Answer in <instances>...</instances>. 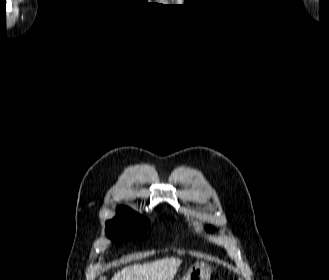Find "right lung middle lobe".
Segmentation results:
<instances>
[{"label": "right lung middle lobe", "instance_id": "obj_1", "mask_svg": "<svg viewBox=\"0 0 329 280\" xmlns=\"http://www.w3.org/2000/svg\"><path fill=\"white\" fill-rule=\"evenodd\" d=\"M149 226V220L127 208H119L117 216L106 223V235L114 242L140 237Z\"/></svg>", "mask_w": 329, "mask_h": 280}]
</instances>
